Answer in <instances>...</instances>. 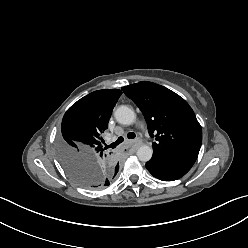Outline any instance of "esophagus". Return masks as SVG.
Returning <instances> with one entry per match:
<instances>
[{
    "label": "esophagus",
    "instance_id": "34e87169",
    "mask_svg": "<svg viewBox=\"0 0 248 248\" xmlns=\"http://www.w3.org/2000/svg\"><path fill=\"white\" fill-rule=\"evenodd\" d=\"M141 144V140L140 139H136L134 141L131 142V146L133 149L138 148V146Z\"/></svg>",
    "mask_w": 248,
    "mask_h": 248
}]
</instances>
